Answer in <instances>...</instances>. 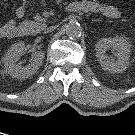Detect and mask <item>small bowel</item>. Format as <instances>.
I'll list each match as a JSON object with an SVG mask.
<instances>
[{
  "mask_svg": "<svg viewBox=\"0 0 135 135\" xmlns=\"http://www.w3.org/2000/svg\"><path fill=\"white\" fill-rule=\"evenodd\" d=\"M81 7L83 9L92 12H100L105 17L112 18V19L118 18L120 16V12L118 8L106 2L93 0V1L86 2L85 4H82ZM25 10L26 9H25L24 2L21 1V3L18 5L16 9V13H15L16 17L22 18L25 14ZM17 34H18V27L13 18H10L5 24L0 25V38H10L16 36Z\"/></svg>",
  "mask_w": 135,
  "mask_h": 135,
  "instance_id": "c3829d8e",
  "label": "small bowel"
}]
</instances>
